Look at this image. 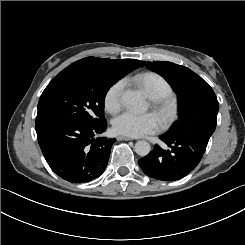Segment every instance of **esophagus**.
Returning <instances> with one entry per match:
<instances>
[{"instance_id": "1", "label": "esophagus", "mask_w": 245, "mask_h": 245, "mask_svg": "<svg viewBox=\"0 0 245 245\" xmlns=\"http://www.w3.org/2000/svg\"><path fill=\"white\" fill-rule=\"evenodd\" d=\"M117 140L118 141H121V140L129 141V140H133V138H130L128 136H117Z\"/></svg>"}]
</instances>
